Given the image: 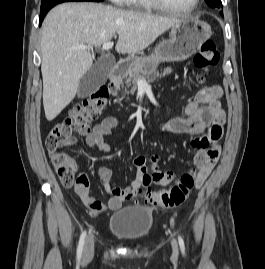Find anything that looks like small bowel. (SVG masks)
<instances>
[{"mask_svg":"<svg viewBox=\"0 0 265 269\" xmlns=\"http://www.w3.org/2000/svg\"><path fill=\"white\" fill-rule=\"evenodd\" d=\"M222 88L212 85L201 89L195 98L184 109V116L169 120L161 125L162 130L169 133H186L192 136L191 145L196 150L195 162L199 168L198 186H201L210 175L217 163L221 146L219 139H212L210 130L212 126L221 124L225 119V113L219 101ZM120 125V120L113 116L105 117L97 124L86 137V144L92 150L104 153L111 152V146L107 138L111 136L115 127ZM209 135L205 136V131ZM133 163L136 168V176L132 182L121 188L112 178L110 168L102 166L97 169L96 175L105 191L110 195L107 203L96 200L89 194V179L85 173H80L76 179L75 192L80 202L91 215H99L107 211L118 210L122 203L131 201L137 191L142 187H148L152 183L167 185L173 180L171 171H163L158 165V156L150 159V168L147 167L146 158L137 156Z\"/></svg>","mask_w":265,"mask_h":269,"instance_id":"small-bowel-1","label":"small bowel"}]
</instances>
